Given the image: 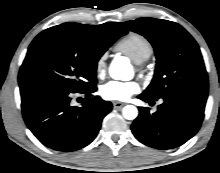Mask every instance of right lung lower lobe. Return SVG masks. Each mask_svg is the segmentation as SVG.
<instances>
[{
    "instance_id": "98d812e1",
    "label": "right lung lower lobe",
    "mask_w": 220,
    "mask_h": 173,
    "mask_svg": "<svg viewBox=\"0 0 220 173\" xmlns=\"http://www.w3.org/2000/svg\"><path fill=\"white\" fill-rule=\"evenodd\" d=\"M97 87L72 92L46 84L20 86L24 120L45 146L63 152L87 146L97 136L103 118L112 104L92 94ZM73 93L89 98L82 107L71 105ZM91 97V98H90Z\"/></svg>"
}]
</instances>
